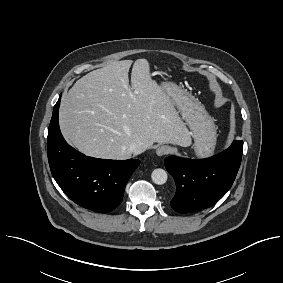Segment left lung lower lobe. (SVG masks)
Wrapping results in <instances>:
<instances>
[{"instance_id":"1","label":"left lung lower lobe","mask_w":283,"mask_h":283,"mask_svg":"<svg viewBox=\"0 0 283 283\" xmlns=\"http://www.w3.org/2000/svg\"><path fill=\"white\" fill-rule=\"evenodd\" d=\"M242 153L243 142L234 141L228 149L210 158H166L165 167L176 183L172 208L179 213H191L217 203L231 188Z\"/></svg>"}]
</instances>
